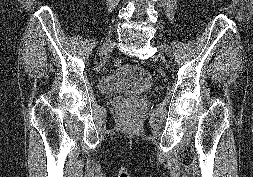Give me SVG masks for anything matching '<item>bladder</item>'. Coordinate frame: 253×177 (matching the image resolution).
Listing matches in <instances>:
<instances>
[{
	"label": "bladder",
	"instance_id": "obj_1",
	"mask_svg": "<svg viewBox=\"0 0 253 177\" xmlns=\"http://www.w3.org/2000/svg\"><path fill=\"white\" fill-rule=\"evenodd\" d=\"M152 86L153 80L150 73L144 67L137 65L120 66L99 81V90L104 94L140 92Z\"/></svg>",
	"mask_w": 253,
	"mask_h": 177
}]
</instances>
